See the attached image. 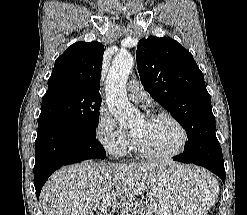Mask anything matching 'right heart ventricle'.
Listing matches in <instances>:
<instances>
[{
    "label": "right heart ventricle",
    "mask_w": 247,
    "mask_h": 215,
    "mask_svg": "<svg viewBox=\"0 0 247 215\" xmlns=\"http://www.w3.org/2000/svg\"><path fill=\"white\" fill-rule=\"evenodd\" d=\"M128 151L136 152V147H135L134 141L132 139L130 141V144H129V147H128Z\"/></svg>",
    "instance_id": "e07e8e85"
}]
</instances>
